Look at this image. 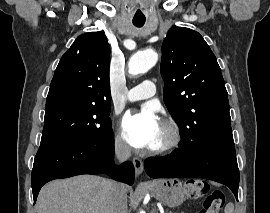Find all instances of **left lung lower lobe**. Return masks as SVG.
Returning a JSON list of instances; mask_svg holds the SVG:
<instances>
[{"label":"left lung lower lobe","mask_w":270,"mask_h":213,"mask_svg":"<svg viewBox=\"0 0 270 213\" xmlns=\"http://www.w3.org/2000/svg\"><path fill=\"white\" fill-rule=\"evenodd\" d=\"M170 155L148 158L145 169L153 178L196 177L228 186L238 200L239 170L234 142L209 145L184 139Z\"/></svg>","instance_id":"left-lung-lower-lobe-1"}]
</instances>
